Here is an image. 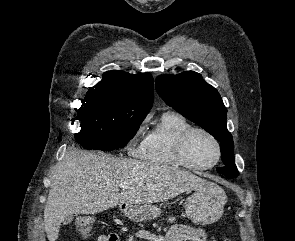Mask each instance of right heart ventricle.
Wrapping results in <instances>:
<instances>
[{
    "label": "right heart ventricle",
    "mask_w": 295,
    "mask_h": 241,
    "mask_svg": "<svg viewBox=\"0 0 295 241\" xmlns=\"http://www.w3.org/2000/svg\"><path fill=\"white\" fill-rule=\"evenodd\" d=\"M192 127L190 121L176 111H166L157 120L137 150L140 159L162 166H178L175 143L180 135Z\"/></svg>",
    "instance_id": "e07e8e85"
}]
</instances>
